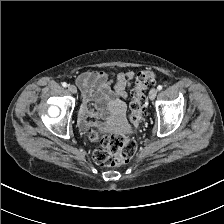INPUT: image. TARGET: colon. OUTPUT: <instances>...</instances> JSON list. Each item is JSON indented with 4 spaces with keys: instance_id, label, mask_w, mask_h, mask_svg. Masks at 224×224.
<instances>
[{
    "instance_id": "colon-1",
    "label": "colon",
    "mask_w": 224,
    "mask_h": 224,
    "mask_svg": "<svg viewBox=\"0 0 224 224\" xmlns=\"http://www.w3.org/2000/svg\"><path fill=\"white\" fill-rule=\"evenodd\" d=\"M156 82V74L151 70L141 71L137 74L134 88L131 92L130 121L137 125L141 122L145 110V92L150 84ZM90 140L97 143L93 152L94 161L101 166L118 167L126 164L134 156L136 142L127 136L111 134L101 136L99 132L92 131Z\"/></svg>"
}]
</instances>
